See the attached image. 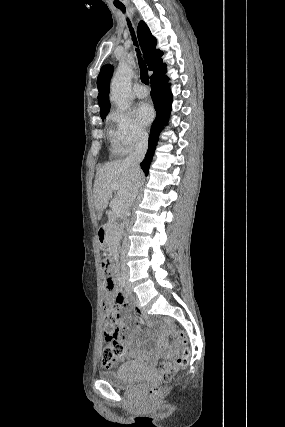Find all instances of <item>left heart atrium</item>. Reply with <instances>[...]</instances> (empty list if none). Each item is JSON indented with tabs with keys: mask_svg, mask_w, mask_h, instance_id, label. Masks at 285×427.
Listing matches in <instances>:
<instances>
[{
	"mask_svg": "<svg viewBox=\"0 0 285 427\" xmlns=\"http://www.w3.org/2000/svg\"><path fill=\"white\" fill-rule=\"evenodd\" d=\"M154 112L150 104L147 102L140 103L136 108V118L143 124L147 125L153 119Z\"/></svg>",
	"mask_w": 285,
	"mask_h": 427,
	"instance_id": "left-heart-atrium-1",
	"label": "left heart atrium"
}]
</instances>
